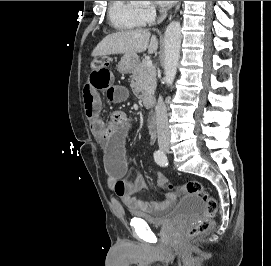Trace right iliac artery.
<instances>
[{
  "label": "right iliac artery",
  "mask_w": 271,
  "mask_h": 266,
  "mask_svg": "<svg viewBox=\"0 0 271 266\" xmlns=\"http://www.w3.org/2000/svg\"><path fill=\"white\" fill-rule=\"evenodd\" d=\"M154 159L156 161V163L160 166H167L168 165V160H167V156L165 155V153L163 151L157 150L154 152Z\"/></svg>",
  "instance_id": "right-iliac-artery-1"
}]
</instances>
